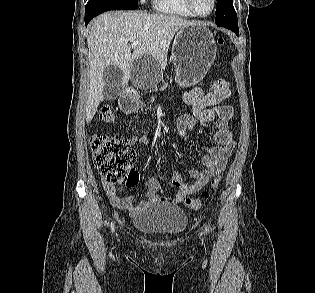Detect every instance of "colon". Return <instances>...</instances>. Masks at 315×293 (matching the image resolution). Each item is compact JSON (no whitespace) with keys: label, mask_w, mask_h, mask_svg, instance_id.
<instances>
[{"label":"colon","mask_w":315,"mask_h":293,"mask_svg":"<svg viewBox=\"0 0 315 293\" xmlns=\"http://www.w3.org/2000/svg\"><path fill=\"white\" fill-rule=\"evenodd\" d=\"M219 44L224 43V38H218ZM212 92H223L231 94V82L227 78H213ZM98 117L100 121L111 123L115 119L113 109L109 105H104L99 109ZM90 147L93 154V161L101 175L104 183L111 185H127L134 187L138 181L137 172L132 169L135 161V152L130 148L128 140L115 135L96 134L90 139ZM222 179L219 173L215 175L210 182V189H216ZM209 192L204 193V197ZM185 204L192 210H198L202 207L200 198H187Z\"/></svg>","instance_id":"5ec220e1"}]
</instances>
